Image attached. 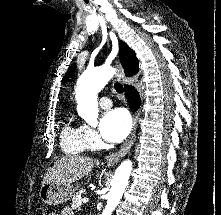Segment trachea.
Returning a JSON list of instances; mask_svg holds the SVG:
<instances>
[{"label": "trachea", "mask_w": 221, "mask_h": 215, "mask_svg": "<svg viewBox=\"0 0 221 215\" xmlns=\"http://www.w3.org/2000/svg\"><path fill=\"white\" fill-rule=\"evenodd\" d=\"M114 88H115V90L118 92V93H123V86L120 84V83H118V82H116L115 84H114Z\"/></svg>", "instance_id": "trachea-1"}]
</instances>
